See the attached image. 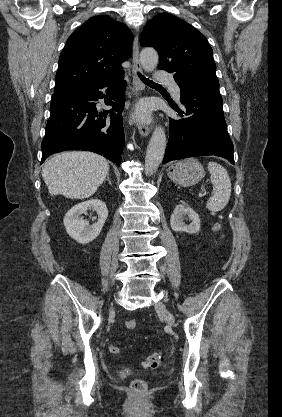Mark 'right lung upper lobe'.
<instances>
[{
	"label": "right lung upper lobe",
	"instance_id": "1",
	"mask_svg": "<svg viewBox=\"0 0 282 417\" xmlns=\"http://www.w3.org/2000/svg\"><path fill=\"white\" fill-rule=\"evenodd\" d=\"M132 41L128 27L107 15L87 20L70 35L60 54L54 94L122 75L121 64L132 53Z\"/></svg>",
	"mask_w": 282,
	"mask_h": 417
}]
</instances>
